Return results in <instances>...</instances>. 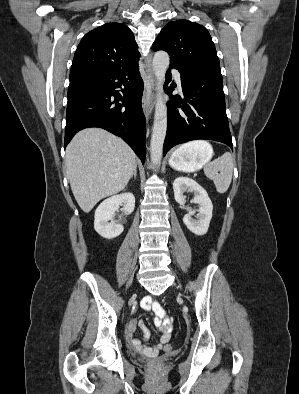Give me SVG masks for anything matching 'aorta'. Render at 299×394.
Masks as SVG:
<instances>
[{
    "instance_id": "1",
    "label": "aorta",
    "mask_w": 299,
    "mask_h": 394,
    "mask_svg": "<svg viewBox=\"0 0 299 394\" xmlns=\"http://www.w3.org/2000/svg\"><path fill=\"white\" fill-rule=\"evenodd\" d=\"M152 66L155 78L157 80V99L155 104L154 124L150 142V157L153 165L159 166L167 130V106L163 98V83L165 80L166 70L169 66L168 53L165 51L156 52L153 58Z\"/></svg>"
}]
</instances>
